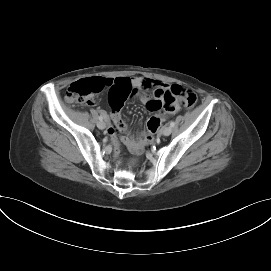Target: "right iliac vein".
<instances>
[{
	"label": "right iliac vein",
	"mask_w": 271,
	"mask_h": 271,
	"mask_svg": "<svg viewBox=\"0 0 271 271\" xmlns=\"http://www.w3.org/2000/svg\"><path fill=\"white\" fill-rule=\"evenodd\" d=\"M97 127L101 130L105 129L106 128V123L104 121H99L97 123Z\"/></svg>",
	"instance_id": "obj_1"
}]
</instances>
